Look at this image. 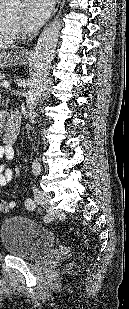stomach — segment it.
Masks as SVG:
<instances>
[{
  "mask_svg": "<svg viewBox=\"0 0 129 309\" xmlns=\"http://www.w3.org/2000/svg\"><path fill=\"white\" fill-rule=\"evenodd\" d=\"M29 60V56L24 51L6 52L0 50V68L22 65Z\"/></svg>",
  "mask_w": 129,
  "mask_h": 309,
  "instance_id": "obj_1",
  "label": "stomach"
}]
</instances>
